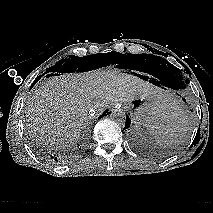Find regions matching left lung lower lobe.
<instances>
[{"label":"left lung lower lobe","mask_w":213,"mask_h":213,"mask_svg":"<svg viewBox=\"0 0 213 213\" xmlns=\"http://www.w3.org/2000/svg\"><path fill=\"white\" fill-rule=\"evenodd\" d=\"M152 76H154L153 79L150 80L151 83H153L156 86H162L164 89L167 88H172L174 89L175 86L174 84L167 78L164 76H159V75H155V74H151ZM143 79L148 80V78L146 76H141ZM184 102H186V100L184 98H182ZM131 124L130 118L127 116L126 117V123H125V128H129Z\"/></svg>","instance_id":"0a47b994"}]
</instances>
